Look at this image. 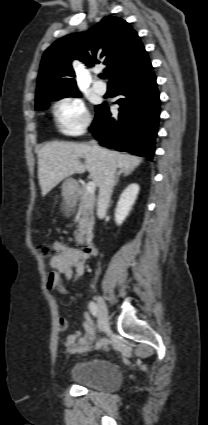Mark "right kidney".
<instances>
[{"instance_id":"right-kidney-1","label":"right kidney","mask_w":208,"mask_h":425,"mask_svg":"<svg viewBox=\"0 0 208 425\" xmlns=\"http://www.w3.org/2000/svg\"><path fill=\"white\" fill-rule=\"evenodd\" d=\"M139 190V185L132 183L128 185L120 195L114 214L117 225H121L128 216L133 204L135 203Z\"/></svg>"}]
</instances>
